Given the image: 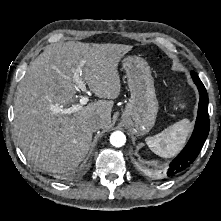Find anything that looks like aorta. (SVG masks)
I'll list each match as a JSON object with an SVG mask.
<instances>
[{
  "mask_svg": "<svg viewBox=\"0 0 221 221\" xmlns=\"http://www.w3.org/2000/svg\"><path fill=\"white\" fill-rule=\"evenodd\" d=\"M110 143L114 147H122L126 143V136L121 131H115L110 136Z\"/></svg>",
  "mask_w": 221,
  "mask_h": 221,
  "instance_id": "762f6f07",
  "label": "aorta"
}]
</instances>
